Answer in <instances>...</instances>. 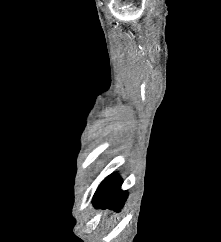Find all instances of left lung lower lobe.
Returning a JSON list of instances; mask_svg holds the SVG:
<instances>
[{
  "label": "left lung lower lobe",
  "instance_id": "left-lung-lower-lobe-1",
  "mask_svg": "<svg viewBox=\"0 0 221 242\" xmlns=\"http://www.w3.org/2000/svg\"><path fill=\"white\" fill-rule=\"evenodd\" d=\"M121 183L122 180L117 173L109 175L95 192L94 206L119 211L127 198V192L120 190Z\"/></svg>",
  "mask_w": 221,
  "mask_h": 242
}]
</instances>
